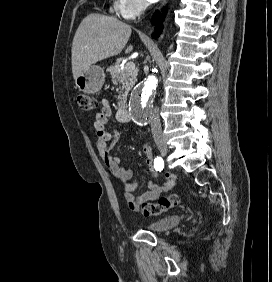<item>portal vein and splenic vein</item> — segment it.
Here are the masks:
<instances>
[{"instance_id": "18ae733b", "label": "portal vein and splenic vein", "mask_w": 272, "mask_h": 282, "mask_svg": "<svg viewBox=\"0 0 272 282\" xmlns=\"http://www.w3.org/2000/svg\"><path fill=\"white\" fill-rule=\"evenodd\" d=\"M126 70H135V64L133 62H129L125 65Z\"/></svg>"}]
</instances>
